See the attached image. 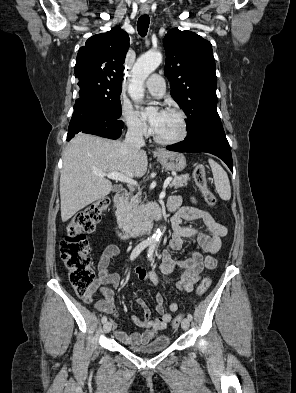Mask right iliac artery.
Listing matches in <instances>:
<instances>
[{
    "instance_id": "right-iliac-artery-1",
    "label": "right iliac artery",
    "mask_w": 296,
    "mask_h": 393,
    "mask_svg": "<svg viewBox=\"0 0 296 393\" xmlns=\"http://www.w3.org/2000/svg\"><path fill=\"white\" fill-rule=\"evenodd\" d=\"M149 245H151V241H143L141 242L139 245H137L134 250L132 251L131 255H130V259L134 260L146 247H148ZM107 321V317L103 316L102 317V323H105Z\"/></svg>"
}]
</instances>
